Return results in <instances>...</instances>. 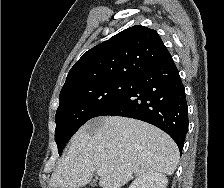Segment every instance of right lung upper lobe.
Returning a JSON list of instances; mask_svg holds the SVG:
<instances>
[{
    "mask_svg": "<svg viewBox=\"0 0 224 188\" xmlns=\"http://www.w3.org/2000/svg\"><path fill=\"white\" fill-rule=\"evenodd\" d=\"M170 56L155 30L132 26L85 52L69 71L62 90L111 79H132Z\"/></svg>",
    "mask_w": 224,
    "mask_h": 188,
    "instance_id": "right-lung-upper-lobe-1",
    "label": "right lung upper lobe"
}]
</instances>
